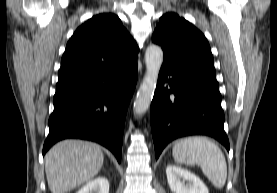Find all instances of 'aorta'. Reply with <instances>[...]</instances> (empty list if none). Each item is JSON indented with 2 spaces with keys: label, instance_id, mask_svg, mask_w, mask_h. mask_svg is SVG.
Segmentation results:
<instances>
[{
  "label": "aorta",
  "instance_id": "aorta-1",
  "mask_svg": "<svg viewBox=\"0 0 277 193\" xmlns=\"http://www.w3.org/2000/svg\"><path fill=\"white\" fill-rule=\"evenodd\" d=\"M146 74L134 101V114L143 115L149 108L163 63V51L157 45H150L145 52Z\"/></svg>",
  "mask_w": 277,
  "mask_h": 193
}]
</instances>
